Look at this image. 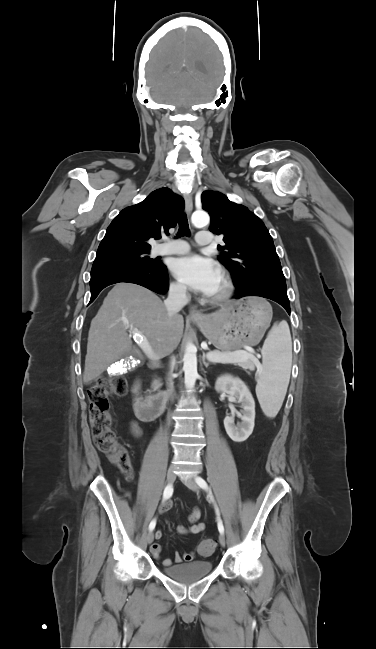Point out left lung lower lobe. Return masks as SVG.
<instances>
[{"mask_svg": "<svg viewBox=\"0 0 376 649\" xmlns=\"http://www.w3.org/2000/svg\"><path fill=\"white\" fill-rule=\"evenodd\" d=\"M246 296H260L271 299L285 308L290 315V303L287 296V289H282L268 281L253 280V284L240 288L238 293L233 296L240 299Z\"/></svg>", "mask_w": 376, "mask_h": 649, "instance_id": "1", "label": "left lung lower lobe"}]
</instances>
